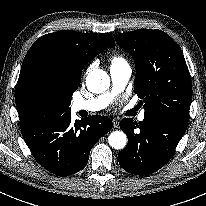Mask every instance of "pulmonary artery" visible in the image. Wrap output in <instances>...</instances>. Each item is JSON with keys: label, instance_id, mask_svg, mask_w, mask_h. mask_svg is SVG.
I'll return each instance as SVG.
<instances>
[{"label": "pulmonary artery", "instance_id": "obj_1", "mask_svg": "<svg viewBox=\"0 0 206 206\" xmlns=\"http://www.w3.org/2000/svg\"><path fill=\"white\" fill-rule=\"evenodd\" d=\"M132 69L126 62L118 63L111 66L110 76L112 82V90L98 97L88 100H76L73 102L72 107L74 111H88L96 112L107 107L115 98V96L123 91L131 77ZM145 118L144 113L138 115V120L143 121Z\"/></svg>", "mask_w": 206, "mask_h": 206}]
</instances>
